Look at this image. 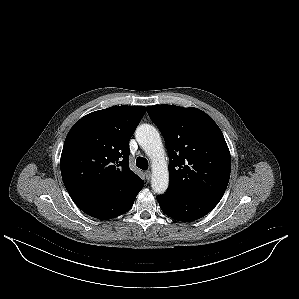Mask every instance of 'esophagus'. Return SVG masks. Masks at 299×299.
<instances>
[{"mask_svg":"<svg viewBox=\"0 0 299 299\" xmlns=\"http://www.w3.org/2000/svg\"><path fill=\"white\" fill-rule=\"evenodd\" d=\"M145 177H146V180H147V181H150V178H151V172H150V171H146V172H145Z\"/></svg>","mask_w":299,"mask_h":299,"instance_id":"1","label":"esophagus"}]
</instances>
